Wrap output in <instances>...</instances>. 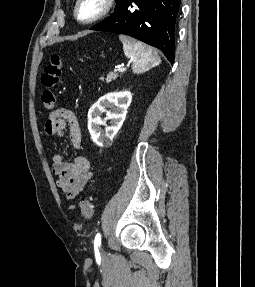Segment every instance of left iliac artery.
<instances>
[{"label": "left iliac artery", "instance_id": "44dca946", "mask_svg": "<svg viewBox=\"0 0 255 287\" xmlns=\"http://www.w3.org/2000/svg\"><path fill=\"white\" fill-rule=\"evenodd\" d=\"M100 244H101V235H100V233H98V234L96 235V237H95L94 245H95V246H100Z\"/></svg>", "mask_w": 255, "mask_h": 287}]
</instances>
